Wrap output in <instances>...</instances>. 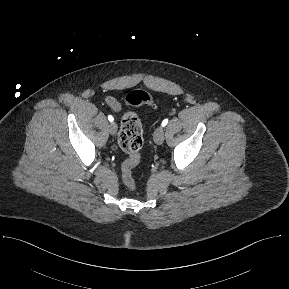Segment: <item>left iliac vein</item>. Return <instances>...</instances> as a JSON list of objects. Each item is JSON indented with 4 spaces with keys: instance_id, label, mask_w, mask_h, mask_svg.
Segmentation results:
<instances>
[{
    "instance_id": "1",
    "label": "left iliac vein",
    "mask_w": 289,
    "mask_h": 289,
    "mask_svg": "<svg viewBox=\"0 0 289 289\" xmlns=\"http://www.w3.org/2000/svg\"><path fill=\"white\" fill-rule=\"evenodd\" d=\"M155 136H156L157 143H160L162 141V130L158 129Z\"/></svg>"
}]
</instances>
